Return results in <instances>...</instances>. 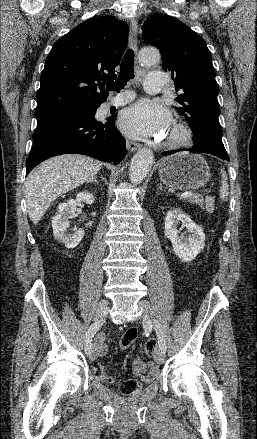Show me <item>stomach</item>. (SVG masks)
I'll list each match as a JSON object with an SVG mask.
<instances>
[{"label":"stomach","mask_w":257,"mask_h":439,"mask_svg":"<svg viewBox=\"0 0 257 439\" xmlns=\"http://www.w3.org/2000/svg\"><path fill=\"white\" fill-rule=\"evenodd\" d=\"M159 176L169 187L194 190L205 186L211 174L207 162L201 155L177 153L161 160Z\"/></svg>","instance_id":"0dacf381"}]
</instances>
